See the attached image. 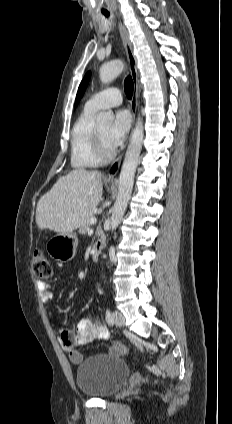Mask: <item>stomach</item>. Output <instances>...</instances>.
Segmentation results:
<instances>
[{
  "instance_id": "obj_1",
  "label": "stomach",
  "mask_w": 232,
  "mask_h": 424,
  "mask_svg": "<svg viewBox=\"0 0 232 424\" xmlns=\"http://www.w3.org/2000/svg\"><path fill=\"white\" fill-rule=\"evenodd\" d=\"M78 238L76 233L57 234L46 244L48 254L58 261L71 260L76 252Z\"/></svg>"
}]
</instances>
